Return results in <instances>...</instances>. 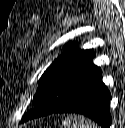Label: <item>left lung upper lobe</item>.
I'll return each instance as SVG.
<instances>
[{
  "label": "left lung upper lobe",
  "mask_w": 125,
  "mask_h": 128,
  "mask_svg": "<svg viewBox=\"0 0 125 128\" xmlns=\"http://www.w3.org/2000/svg\"><path fill=\"white\" fill-rule=\"evenodd\" d=\"M77 45V42L65 45L63 54L43 73L33 97V105L36 107L25 114L23 122L52 114L64 106L81 78L95 67L92 61L94 52L75 49Z\"/></svg>",
  "instance_id": "5c2ea615"
}]
</instances>
